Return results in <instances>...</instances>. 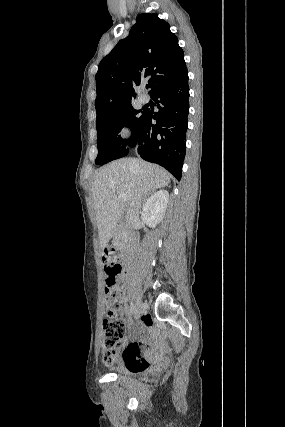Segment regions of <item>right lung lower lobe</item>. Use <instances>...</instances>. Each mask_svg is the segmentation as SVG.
Segmentation results:
<instances>
[{
  "label": "right lung lower lobe",
  "mask_w": 285,
  "mask_h": 427,
  "mask_svg": "<svg viewBox=\"0 0 285 427\" xmlns=\"http://www.w3.org/2000/svg\"><path fill=\"white\" fill-rule=\"evenodd\" d=\"M158 112H145L137 141L138 153L157 163L180 180L186 154V131L189 113L188 71L151 94ZM152 119L156 124H152Z\"/></svg>",
  "instance_id": "obj_1"
}]
</instances>
